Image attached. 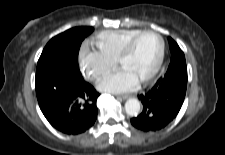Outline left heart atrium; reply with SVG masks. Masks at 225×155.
Masks as SVG:
<instances>
[{
	"label": "left heart atrium",
	"mask_w": 225,
	"mask_h": 155,
	"mask_svg": "<svg viewBox=\"0 0 225 155\" xmlns=\"http://www.w3.org/2000/svg\"><path fill=\"white\" fill-rule=\"evenodd\" d=\"M140 83V80L131 71L121 68L106 75L98 84L102 91L120 93L134 90Z\"/></svg>",
	"instance_id": "1"
}]
</instances>
